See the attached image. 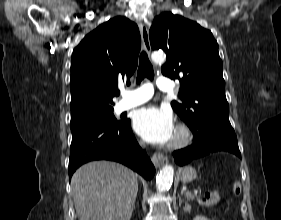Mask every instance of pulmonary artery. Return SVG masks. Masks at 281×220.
Returning a JSON list of instances; mask_svg holds the SVG:
<instances>
[{"label":"pulmonary artery","instance_id":"obj_1","mask_svg":"<svg viewBox=\"0 0 281 220\" xmlns=\"http://www.w3.org/2000/svg\"><path fill=\"white\" fill-rule=\"evenodd\" d=\"M156 84L161 91H171L174 86L173 82L165 76H160ZM152 96L153 86L151 84H144L135 89L124 91L123 99L120 102V108L122 110H127L139 106L150 100Z\"/></svg>","mask_w":281,"mask_h":220}]
</instances>
